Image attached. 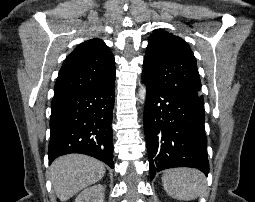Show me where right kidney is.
<instances>
[{
	"label": "right kidney",
	"mask_w": 255,
	"mask_h": 202,
	"mask_svg": "<svg viewBox=\"0 0 255 202\" xmlns=\"http://www.w3.org/2000/svg\"><path fill=\"white\" fill-rule=\"evenodd\" d=\"M104 191L103 185H94L84 189L75 199V202H104Z\"/></svg>",
	"instance_id": "obj_1"
}]
</instances>
